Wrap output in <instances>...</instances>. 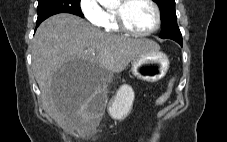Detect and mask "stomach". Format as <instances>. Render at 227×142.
<instances>
[{
	"label": "stomach",
	"mask_w": 227,
	"mask_h": 142,
	"mask_svg": "<svg viewBox=\"0 0 227 142\" xmlns=\"http://www.w3.org/2000/svg\"><path fill=\"white\" fill-rule=\"evenodd\" d=\"M168 68L167 55L159 49H151L132 60L131 71L137 79L156 82L165 76ZM133 100V89L127 84L121 85L109 105L111 116L117 120L126 118L132 108Z\"/></svg>",
	"instance_id": "stomach-1"
}]
</instances>
